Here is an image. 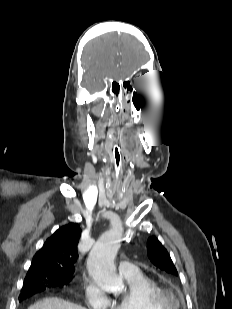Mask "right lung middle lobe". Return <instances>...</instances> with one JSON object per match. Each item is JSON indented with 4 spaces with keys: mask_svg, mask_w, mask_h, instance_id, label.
Returning a JSON list of instances; mask_svg holds the SVG:
<instances>
[{
    "mask_svg": "<svg viewBox=\"0 0 232 309\" xmlns=\"http://www.w3.org/2000/svg\"><path fill=\"white\" fill-rule=\"evenodd\" d=\"M70 281L68 276L48 272L26 275L19 300L21 302L47 287L68 284Z\"/></svg>",
    "mask_w": 232,
    "mask_h": 309,
    "instance_id": "obj_1",
    "label": "right lung middle lobe"
}]
</instances>
